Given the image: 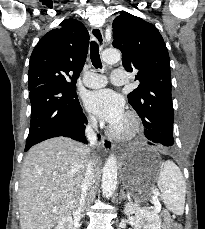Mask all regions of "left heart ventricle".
<instances>
[{"label": "left heart ventricle", "instance_id": "1", "mask_svg": "<svg viewBox=\"0 0 205 229\" xmlns=\"http://www.w3.org/2000/svg\"><path fill=\"white\" fill-rule=\"evenodd\" d=\"M125 126V121H124V119L119 123V124H117L115 127H117V128H123Z\"/></svg>", "mask_w": 205, "mask_h": 229}]
</instances>
